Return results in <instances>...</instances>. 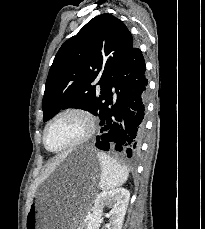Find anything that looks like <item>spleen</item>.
<instances>
[{
	"label": "spleen",
	"instance_id": "spleen-1",
	"mask_svg": "<svg viewBox=\"0 0 205 229\" xmlns=\"http://www.w3.org/2000/svg\"><path fill=\"white\" fill-rule=\"evenodd\" d=\"M101 166L99 186L103 190L121 186L128 179V170L104 152L97 153Z\"/></svg>",
	"mask_w": 205,
	"mask_h": 229
}]
</instances>
